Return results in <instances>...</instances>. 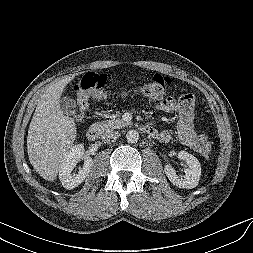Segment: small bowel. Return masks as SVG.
<instances>
[{
	"mask_svg": "<svg viewBox=\"0 0 253 253\" xmlns=\"http://www.w3.org/2000/svg\"><path fill=\"white\" fill-rule=\"evenodd\" d=\"M157 108L162 112L177 113L179 116L177 124L178 139L191 150H201L205 138L203 135L196 133L194 129V100L190 101L183 98L174 99L167 97L157 105ZM150 135L162 143H167L172 138L169 131H157L153 128Z\"/></svg>",
	"mask_w": 253,
	"mask_h": 253,
	"instance_id": "1",
	"label": "small bowel"
}]
</instances>
